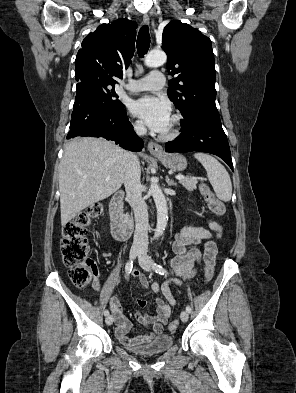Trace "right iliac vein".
<instances>
[{
	"instance_id": "right-iliac-vein-1",
	"label": "right iliac vein",
	"mask_w": 296,
	"mask_h": 393,
	"mask_svg": "<svg viewBox=\"0 0 296 393\" xmlns=\"http://www.w3.org/2000/svg\"><path fill=\"white\" fill-rule=\"evenodd\" d=\"M140 252H141V248H140V247H132L131 250H130V254H129L130 259H135L136 256H137ZM105 323H106L108 326L112 325V324H113V316H112V315H108V316L105 318Z\"/></svg>"
}]
</instances>
